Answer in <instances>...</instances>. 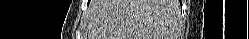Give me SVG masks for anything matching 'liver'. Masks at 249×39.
Segmentation results:
<instances>
[{"label": "liver", "mask_w": 249, "mask_h": 39, "mask_svg": "<svg viewBox=\"0 0 249 39\" xmlns=\"http://www.w3.org/2000/svg\"><path fill=\"white\" fill-rule=\"evenodd\" d=\"M89 39H165L172 0H98L90 7Z\"/></svg>", "instance_id": "1"}]
</instances>
